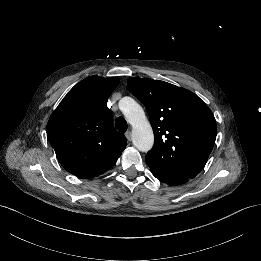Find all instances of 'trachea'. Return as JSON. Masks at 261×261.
<instances>
[{
  "mask_svg": "<svg viewBox=\"0 0 261 261\" xmlns=\"http://www.w3.org/2000/svg\"><path fill=\"white\" fill-rule=\"evenodd\" d=\"M115 127L120 132H125L128 129V124L123 117H119L115 120Z\"/></svg>",
  "mask_w": 261,
  "mask_h": 261,
  "instance_id": "1",
  "label": "trachea"
}]
</instances>
